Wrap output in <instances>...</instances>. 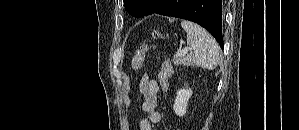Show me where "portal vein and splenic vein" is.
I'll list each match as a JSON object with an SVG mask.
<instances>
[{
    "label": "portal vein and splenic vein",
    "instance_id": "portal-vein-and-splenic-vein-1",
    "mask_svg": "<svg viewBox=\"0 0 299 130\" xmlns=\"http://www.w3.org/2000/svg\"><path fill=\"white\" fill-rule=\"evenodd\" d=\"M191 51H192L191 48L186 47L184 49L178 50L177 53H176V56H181V55L186 54V53L191 52Z\"/></svg>",
    "mask_w": 299,
    "mask_h": 130
}]
</instances>
